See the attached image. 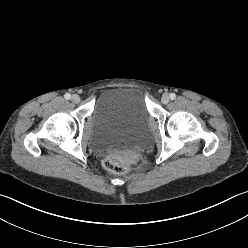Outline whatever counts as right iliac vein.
Instances as JSON below:
<instances>
[{
    "label": "right iliac vein",
    "mask_w": 248,
    "mask_h": 248,
    "mask_svg": "<svg viewBox=\"0 0 248 248\" xmlns=\"http://www.w3.org/2000/svg\"><path fill=\"white\" fill-rule=\"evenodd\" d=\"M71 100L73 103L77 104L80 102V96L77 95V94H74L72 97H71Z\"/></svg>",
    "instance_id": "obj_1"
}]
</instances>
